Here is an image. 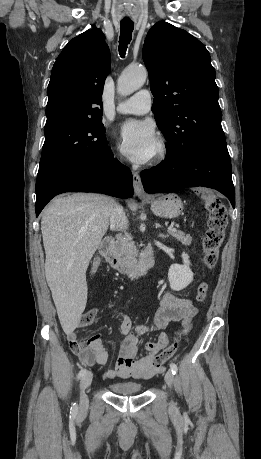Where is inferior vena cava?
Masks as SVG:
<instances>
[{"label":"inferior vena cava","instance_id":"1","mask_svg":"<svg viewBox=\"0 0 261 459\" xmlns=\"http://www.w3.org/2000/svg\"><path fill=\"white\" fill-rule=\"evenodd\" d=\"M128 225V220L125 212L119 204L114 205L110 216V227L112 230H125Z\"/></svg>","mask_w":261,"mask_h":459}]
</instances>
